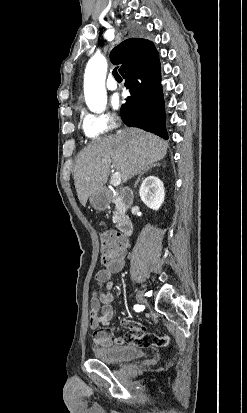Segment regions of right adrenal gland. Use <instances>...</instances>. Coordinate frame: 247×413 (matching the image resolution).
Returning <instances> with one entry per match:
<instances>
[{
	"mask_svg": "<svg viewBox=\"0 0 247 413\" xmlns=\"http://www.w3.org/2000/svg\"><path fill=\"white\" fill-rule=\"evenodd\" d=\"M152 166H160V162H155V164H149V166H146V168H143V170H141V172H139L138 174V178L134 184V188H136L142 174H144V172H148V170H150V168H152Z\"/></svg>",
	"mask_w": 247,
	"mask_h": 413,
	"instance_id": "1",
	"label": "right adrenal gland"
}]
</instances>
